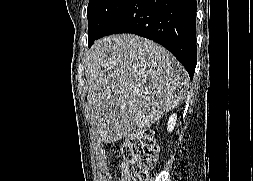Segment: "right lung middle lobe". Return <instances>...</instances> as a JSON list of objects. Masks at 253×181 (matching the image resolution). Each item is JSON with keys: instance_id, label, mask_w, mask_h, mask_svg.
I'll return each mask as SVG.
<instances>
[{"instance_id": "dd1d6c3e", "label": "right lung middle lobe", "mask_w": 253, "mask_h": 181, "mask_svg": "<svg viewBox=\"0 0 253 181\" xmlns=\"http://www.w3.org/2000/svg\"><path fill=\"white\" fill-rule=\"evenodd\" d=\"M130 0H90L87 9L88 35L101 32Z\"/></svg>"}]
</instances>
